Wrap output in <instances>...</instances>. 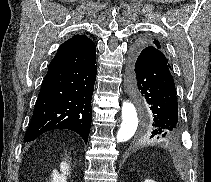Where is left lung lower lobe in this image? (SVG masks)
<instances>
[{
    "label": "left lung lower lobe",
    "instance_id": "0a47b994",
    "mask_svg": "<svg viewBox=\"0 0 211 182\" xmlns=\"http://www.w3.org/2000/svg\"><path fill=\"white\" fill-rule=\"evenodd\" d=\"M128 88L134 98L149 105L152 118L146 136L174 141L181 133L175 82L164 53L145 39L131 50Z\"/></svg>",
    "mask_w": 211,
    "mask_h": 182
}]
</instances>
